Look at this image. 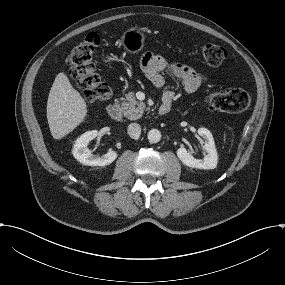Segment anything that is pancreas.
Wrapping results in <instances>:
<instances>
[{
	"label": "pancreas",
	"instance_id": "pancreas-1",
	"mask_svg": "<svg viewBox=\"0 0 285 285\" xmlns=\"http://www.w3.org/2000/svg\"><path fill=\"white\" fill-rule=\"evenodd\" d=\"M120 100L122 101V111L125 117L130 120H137L142 117L146 105L144 102L136 100L134 92L127 93Z\"/></svg>",
	"mask_w": 285,
	"mask_h": 285
}]
</instances>
